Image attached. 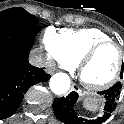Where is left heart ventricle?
I'll list each match as a JSON object with an SVG mask.
<instances>
[{
    "label": "left heart ventricle",
    "mask_w": 124,
    "mask_h": 124,
    "mask_svg": "<svg viewBox=\"0 0 124 124\" xmlns=\"http://www.w3.org/2000/svg\"><path fill=\"white\" fill-rule=\"evenodd\" d=\"M117 65V49L114 46L104 47L86 65L82 77L88 83H104L114 75Z\"/></svg>",
    "instance_id": "1"
}]
</instances>
